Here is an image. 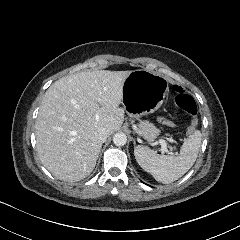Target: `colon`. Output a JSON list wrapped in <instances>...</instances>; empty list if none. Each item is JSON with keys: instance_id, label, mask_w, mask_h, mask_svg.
<instances>
[{"instance_id": "colon-1", "label": "colon", "mask_w": 240, "mask_h": 240, "mask_svg": "<svg viewBox=\"0 0 240 240\" xmlns=\"http://www.w3.org/2000/svg\"><path fill=\"white\" fill-rule=\"evenodd\" d=\"M176 105L191 116V125L190 127H186V135H191V132H194L195 129L198 128V107L195 101L187 95L178 96L176 98ZM162 125L167 126L168 128H173V119L163 117Z\"/></svg>"}]
</instances>
